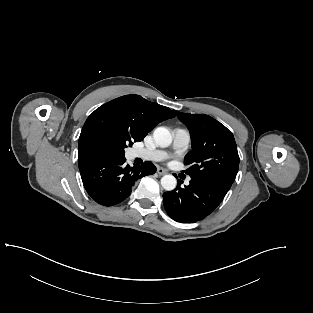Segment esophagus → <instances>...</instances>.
<instances>
[{
  "label": "esophagus",
  "mask_w": 313,
  "mask_h": 313,
  "mask_svg": "<svg viewBox=\"0 0 313 313\" xmlns=\"http://www.w3.org/2000/svg\"><path fill=\"white\" fill-rule=\"evenodd\" d=\"M157 173H158V175H165V174H167V170H165L164 168H161V167H158L157 168Z\"/></svg>",
  "instance_id": "esophagus-1"
}]
</instances>
